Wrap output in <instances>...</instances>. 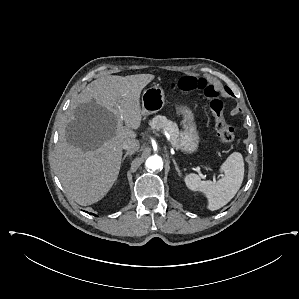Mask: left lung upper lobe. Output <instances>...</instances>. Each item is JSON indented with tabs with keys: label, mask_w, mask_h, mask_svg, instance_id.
I'll return each instance as SVG.
<instances>
[{
	"label": "left lung upper lobe",
	"mask_w": 299,
	"mask_h": 299,
	"mask_svg": "<svg viewBox=\"0 0 299 299\" xmlns=\"http://www.w3.org/2000/svg\"><path fill=\"white\" fill-rule=\"evenodd\" d=\"M225 89H226V91H227L229 94L232 93V91H231L227 86L225 87Z\"/></svg>",
	"instance_id": "1"
}]
</instances>
